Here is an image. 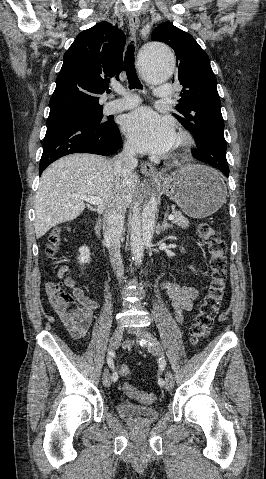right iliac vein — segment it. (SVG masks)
Masks as SVG:
<instances>
[{
  "label": "right iliac vein",
  "instance_id": "right-iliac-vein-1",
  "mask_svg": "<svg viewBox=\"0 0 266 479\" xmlns=\"http://www.w3.org/2000/svg\"><path fill=\"white\" fill-rule=\"evenodd\" d=\"M122 336H123V328L119 326L114 330L110 339L109 348L111 351H114L115 349H117L122 339ZM102 381L105 387H110L111 378H110V373L108 371L104 372Z\"/></svg>",
  "mask_w": 266,
  "mask_h": 479
}]
</instances>
